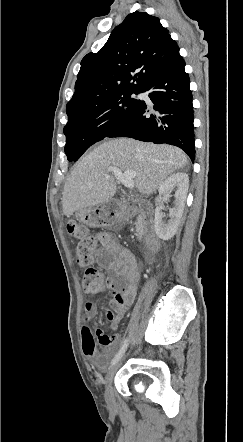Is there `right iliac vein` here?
I'll return each instance as SVG.
<instances>
[{
  "label": "right iliac vein",
  "instance_id": "1",
  "mask_svg": "<svg viewBox=\"0 0 243 442\" xmlns=\"http://www.w3.org/2000/svg\"><path fill=\"white\" fill-rule=\"evenodd\" d=\"M119 367V364L116 363L112 366V368L110 369V371L108 372L104 384H105V393H104V397H105V401L109 406H113L114 405V394H113V389H112V382L115 376V373L117 371Z\"/></svg>",
  "mask_w": 243,
  "mask_h": 442
}]
</instances>
